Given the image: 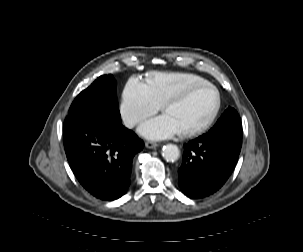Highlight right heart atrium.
<instances>
[{
	"label": "right heart atrium",
	"mask_w": 303,
	"mask_h": 252,
	"mask_svg": "<svg viewBox=\"0 0 303 252\" xmlns=\"http://www.w3.org/2000/svg\"><path fill=\"white\" fill-rule=\"evenodd\" d=\"M159 109L160 105L150 97L146 85L135 77L129 79L119 104V113L124 125L132 128Z\"/></svg>",
	"instance_id": "right-heart-atrium-1"
}]
</instances>
